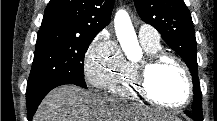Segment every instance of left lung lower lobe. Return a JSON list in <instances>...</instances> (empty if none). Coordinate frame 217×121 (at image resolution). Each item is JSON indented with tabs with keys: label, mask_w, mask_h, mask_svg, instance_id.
Returning <instances> with one entry per match:
<instances>
[{
	"label": "left lung lower lobe",
	"mask_w": 217,
	"mask_h": 121,
	"mask_svg": "<svg viewBox=\"0 0 217 121\" xmlns=\"http://www.w3.org/2000/svg\"><path fill=\"white\" fill-rule=\"evenodd\" d=\"M185 114H187L188 116H191L189 111H185Z\"/></svg>",
	"instance_id": "obj_1"
}]
</instances>
